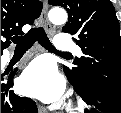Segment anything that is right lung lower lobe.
<instances>
[{"instance_id":"right-lung-lower-lobe-1","label":"right lung lower lobe","mask_w":121,"mask_h":113,"mask_svg":"<svg viewBox=\"0 0 121 113\" xmlns=\"http://www.w3.org/2000/svg\"><path fill=\"white\" fill-rule=\"evenodd\" d=\"M14 74L15 70L8 75V83H2L4 77L1 75V113H37L35 102L32 99L20 97L11 90Z\"/></svg>"}]
</instances>
